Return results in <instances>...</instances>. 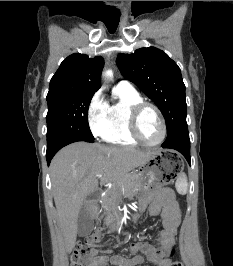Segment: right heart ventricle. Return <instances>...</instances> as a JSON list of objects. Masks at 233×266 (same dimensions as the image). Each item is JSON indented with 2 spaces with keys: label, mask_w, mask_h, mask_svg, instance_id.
Instances as JSON below:
<instances>
[{
  "label": "right heart ventricle",
  "mask_w": 233,
  "mask_h": 266,
  "mask_svg": "<svg viewBox=\"0 0 233 266\" xmlns=\"http://www.w3.org/2000/svg\"><path fill=\"white\" fill-rule=\"evenodd\" d=\"M115 101L108 105L107 119L109 129L104 140L115 145L135 146L137 142L131 137L128 126L129 108L140 101L141 95L135 89L116 86L113 90Z\"/></svg>",
  "instance_id": "e07e8e85"
}]
</instances>
